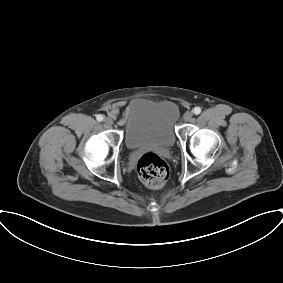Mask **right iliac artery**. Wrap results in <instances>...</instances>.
Segmentation results:
<instances>
[{
  "mask_svg": "<svg viewBox=\"0 0 283 283\" xmlns=\"http://www.w3.org/2000/svg\"><path fill=\"white\" fill-rule=\"evenodd\" d=\"M96 119L101 122L103 120V116L102 115H97Z\"/></svg>",
  "mask_w": 283,
  "mask_h": 283,
  "instance_id": "82829eb1",
  "label": "right iliac artery"
}]
</instances>
